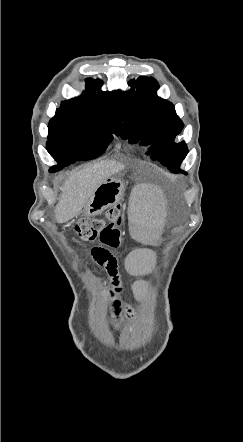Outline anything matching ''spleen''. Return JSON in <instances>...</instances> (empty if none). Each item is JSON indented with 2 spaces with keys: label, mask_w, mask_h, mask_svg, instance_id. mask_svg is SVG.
Returning a JSON list of instances; mask_svg holds the SVG:
<instances>
[{
  "label": "spleen",
  "mask_w": 243,
  "mask_h": 442,
  "mask_svg": "<svg viewBox=\"0 0 243 442\" xmlns=\"http://www.w3.org/2000/svg\"><path fill=\"white\" fill-rule=\"evenodd\" d=\"M147 179L151 180L152 176L148 175ZM125 199L130 202L131 237L135 242H157V231L167 225V218L163 217L164 194L157 193L155 183H136ZM158 261V254H137L136 259H132V268L135 274H154ZM149 289L150 284L143 282L141 287H134V296H149Z\"/></svg>",
  "instance_id": "3e777b00"
}]
</instances>
